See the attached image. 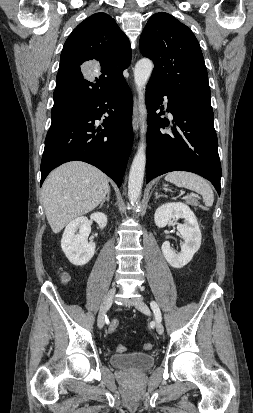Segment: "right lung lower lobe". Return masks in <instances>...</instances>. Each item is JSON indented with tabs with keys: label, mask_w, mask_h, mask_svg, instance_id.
Returning a JSON list of instances; mask_svg holds the SVG:
<instances>
[{
	"label": "right lung lower lobe",
	"mask_w": 253,
	"mask_h": 413,
	"mask_svg": "<svg viewBox=\"0 0 253 413\" xmlns=\"http://www.w3.org/2000/svg\"><path fill=\"white\" fill-rule=\"evenodd\" d=\"M133 99L122 82L76 110L52 119L41 161V184L51 170L73 160L92 164L121 186L133 143ZM104 113L101 127L94 121Z\"/></svg>",
	"instance_id": "1"
}]
</instances>
